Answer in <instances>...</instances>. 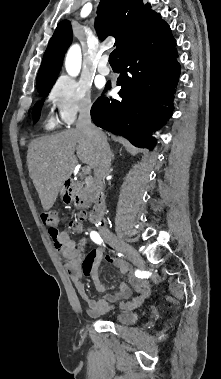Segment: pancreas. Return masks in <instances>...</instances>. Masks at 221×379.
<instances>
[{"label": "pancreas", "instance_id": "1", "mask_svg": "<svg viewBox=\"0 0 221 379\" xmlns=\"http://www.w3.org/2000/svg\"><path fill=\"white\" fill-rule=\"evenodd\" d=\"M94 187L91 179L85 180V187L80 190V194L85 198H93Z\"/></svg>", "mask_w": 221, "mask_h": 379}]
</instances>
